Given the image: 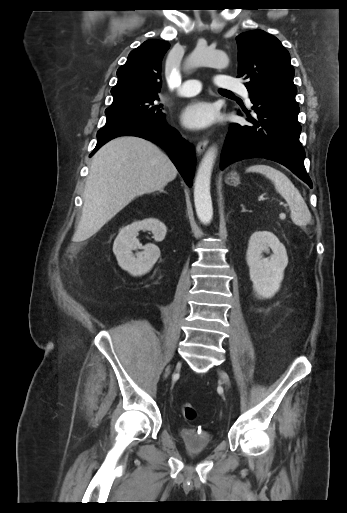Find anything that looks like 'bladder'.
<instances>
[{"label": "bladder", "instance_id": "bladder-1", "mask_svg": "<svg viewBox=\"0 0 347 513\" xmlns=\"http://www.w3.org/2000/svg\"><path fill=\"white\" fill-rule=\"evenodd\" d=\"M180 436L186 452L200 455L211 451L215 446V440L212 435L205 430H197L196 428H181Z\"/></svg>", "mask_w": 347, "mask_h": 513}]
</instances>
